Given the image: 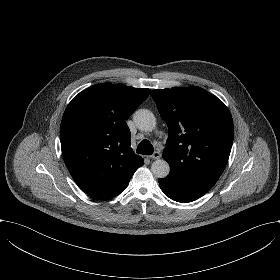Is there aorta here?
<instances>
[{
	"label": "aorta",
	"instance_id": "obj_1",
	"mask_svg": "<svg viewBox=\"0 0 280 280\" xmlns=\"http://www.w3.org/2000/svg\"><path fill=\"white\" fill-rule=\"evenodd\" d=\"M134 121L137 123L138 128L144 132H152L157 126L155 115L147 109L137 110L134 113ZM151 171L155 177L165 178L169 175L170 166L167 161L157 159L152 163Z\"/></svg>",
	"mask_w": 280,
	"mask_h": 280
}]
</instances>
